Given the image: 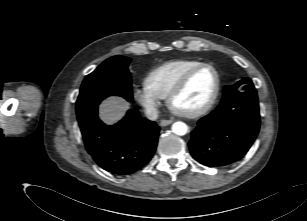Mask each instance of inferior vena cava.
I'll use <instances>...</instances> for the list:
<instances>
[{
    "mask_svg": "<svg viewBox=\"0 0 307 221\" xmlns=\"http://www.w3.org/2000/svg\"><path fill=\"white\" fill-rule=\"evenodd\" d=\"M145 114L149 120H156L158 118V110L155 107L146 109Z\"/></svg>",
    "mask_w": 307,
    "mask_h": 221,
    "instance_id": "obj_1",
    "label": "inferior vena cava"
}]
</instances>
